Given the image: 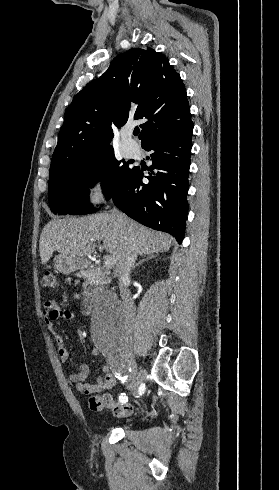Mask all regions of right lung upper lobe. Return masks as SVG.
Segmentation results:
<instances>
[{"mask_svg":"<svg viewBox=\"0 0 279 490\" xmlns=\"http://www.w3.org/2000/svg\"><path fill=\"white\" fill-rule=\"evenodd\" d=\"M133 120H147L140 125L141 144L193 123L179 73L152 48L118 55L74 97L58 135L50 178L113 149L108 145L111 125L120 128Z\"/></svg>","mask_w":279,"mask_h":490,"instance_id":"cb5924a9","label":"right lung upper lobe"}]
</instances>
